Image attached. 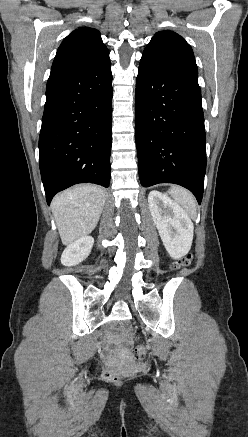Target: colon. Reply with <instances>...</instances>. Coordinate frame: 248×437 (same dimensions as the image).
Returning <instances> with one entry per match:
<instances>
[{"mask_svg": "<svg viewBox=\"0 0 248 437\" xmlns=\"http://www.w3.org/2000/svg\"><path fill=\"white\" fill-rule=\"evenodd\" d=\"M191 263V256L188 255L184 259H182L178 264H175L173 266V269H178L182 266H188ZM147 353V348L143 344H138L134 347L132 355L133 358L137 361L142 360ZM103 377L107 382L117 384L121 381L123 374L121 371L115 368H107L104 373Z\"/></svg>", "mask_w": 248, "mask_h": 437, "instance_id": "obj_1", "label": "colon"}]
</instances>
